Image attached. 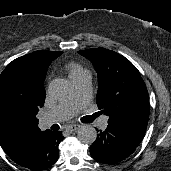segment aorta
<instances>
[{
  "label": "aorta",
  "instance_id": "obj_1",
  "mask_svg": "<svg viewBox=\"0 0 171 171\" xmlns=\"http://www.w3.org/2000/svg\"><path fill=\"white\" fill-rule=\"evenodd\" d=\"M70 91V82L63 78H56L52 80L48 87L49 95L57 100L66 98ZM77 137L82 143L93 144L97 138V131L93 126L86 124L79 128Z\"/></svg>",
  "mask_w": 171,
  "mask_h": 171
}]
</instances>
